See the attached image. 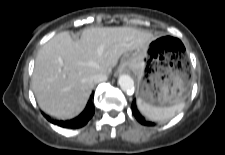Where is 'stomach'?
<instances>
[{
  "label": "stomach",
  "instance_id": "1",
  "mask_svg": "<svg viewBox=\"0 0 225 155\" xmlns=\"http://www.w3.org/2000/svg\"><path fill=\"white\" fill-rule=\"evenodd\" d=\"M157 39L145 53L127 54L122 65L132 70L138 79L139 98L152 106L169 107L183 101L190 90L186 67L162 58Z\"/></svg>",
  "mask_w": 225,
  "mask_h": 155
}]
</instances>
